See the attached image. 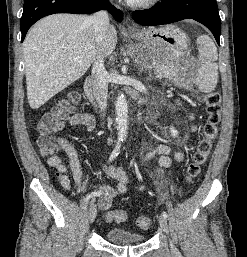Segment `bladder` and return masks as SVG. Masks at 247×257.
<instances>
[{
    "instance_id": "1",
    "label": "bladder",
    "mask_w": 247,
    "mask_h": 257,
    "mask_svg": "<svg viewBox=\"0 0 247 257\" xmlns=\"http://www.w3.org/2000/svg\"><path fill=\"white\" fill-rule=\"evenodd\" d=\"M105 237L110 243L115 245H134L145 241V236L143 234L119 227L107 229Z\"/></svg>"
}]
</instances>
